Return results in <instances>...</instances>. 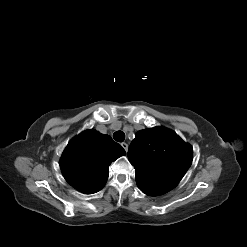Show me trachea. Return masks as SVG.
<instances>
[{
    "instance_id": "3493384b",
    "label": "trachea",
    "mask_w": 247,
    "mask_h": 247,
    "mask_svg": "<svg viewBox=\"0 0 247 247\" xmlns=\"http://www.w3.org/2000/svg\"><path fill=\"white\" fill-rule=\"evenodd\" d=\"M113 138L115 141L117 142H123L124 139H125V134L124 132L122 131H116L114 134H113Z\"/></svg>"
}]
</instances>
